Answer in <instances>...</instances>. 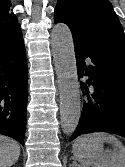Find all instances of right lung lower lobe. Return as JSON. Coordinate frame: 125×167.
Instances as JSON below:
<instances>
[{
    "label": "right lung lower lobe",
    "mask_w": 125,
    "mask_h": 167,
    "mask_svg": "<svg viewBox=\"0 0 125 167\" xmlns=\"http://www.w3.org/2000/svg\"><path fill=\"white\" fill-rule=\"evenodd\" d=\"M28 70L21 31L0 36V134L22 145L26 130Z\"/></svg>",
    "instance_id": "right-lung-lower-lobe-1"
}]
</instances>
